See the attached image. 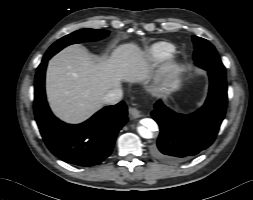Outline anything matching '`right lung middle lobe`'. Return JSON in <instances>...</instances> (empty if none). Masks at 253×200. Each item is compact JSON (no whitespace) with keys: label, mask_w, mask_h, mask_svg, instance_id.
<instances>
[{"label":"right lung middle lobe","mask_w":253,"mask_h":200,"mask_svg":"<svg viewBox=\"0 0 253 200\" xmlns=\"http://www.w3.org/2000/svg\"><path fill=\"white\" fill-rule=\"evenodd\" d=\"M109 35V31L101 29H83L75 31L69 35H66L56 41L46 52L45 55L56 54L64 47L81 42H90L101 40Z\"/></svg>","instance_id":"obj_1"}]
</instances>
